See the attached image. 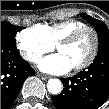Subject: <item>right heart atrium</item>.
I'll use <instances>...</instances> for the list:
<instances>
[{
	"label": "right heart atrium",
	"instance_id": "obj_1",
	"mask_svg": "<svg viewBox=\"0 0 109 109\" xmlns=\"http://www.w3.org/2000/svg\"><path fill=\"white\" fill-rule=\"evenodd\" d=\"M16 43L21 56L29 62H37L43 54L54 49V44L41 26L18 32Z\"/></svg>",
	"mask_w": 109,
	"mask_h": 109
}]
</instances>
